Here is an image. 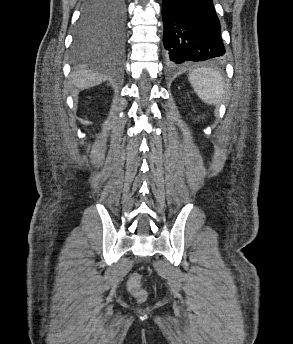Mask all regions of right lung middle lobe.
Masks as SVG:
<instances>
[{
  "label": "right lung middle lobe",
  "mask_w": 293,
  "mask_h": 344,
  "mask_svg": "<svg viewBox=\"0 0 293 344\" xmlns=\"http://www.w3.org/2000/svg\"><path fill=\"white\" fill-rule=\"evenodd\" d=\"M124 20L123 0H89L84 3L75 31L77 49L112 44L111 30L120 28Z\"/></svg>",
  "instance_id": "1"
}]
</instances>
